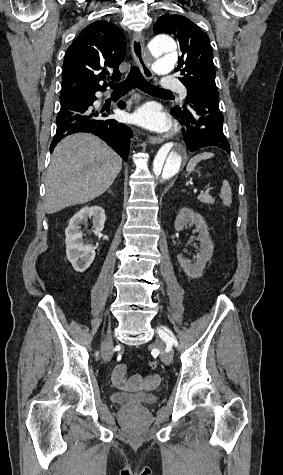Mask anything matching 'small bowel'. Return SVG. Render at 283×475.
<instances>
[{
  "mask_svg": "<svg viewBox=\"0 0 283 475\" xmlns=\"http://www.w3.org/2000/svg\"><path fill=\"white\" fill-rule=\"evenodd\" d=\"M126 373L127 368L123 363H119L113 368L111 373V381L117 389L129 390L130 384L139 385L141 383V373L139 371H134L130 379L127 377ZM146 380L149 382L150 386H156L160 380V375L158 373H154L146 377Z\"/></svg>",
  "mask_w": 283,
  "mask_h": 475,
  "instance_id": "1",
  "label": "small bowel"
}]
</instances>
